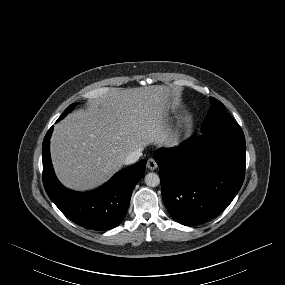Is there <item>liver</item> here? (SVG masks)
<instances>
[{"label":"liver","mask_w":285,"mask_h":285,"mask_svg":"<svg viewBox=\"0 0 285 285\" xmlns=\"http://www.w3.org/2000/svg\"><path fill=\"white\" fill-rule=\"evenodd\" d=\"M166 86L110 91L88 101L55 125L51 157L61 183L92 190L119 171L131 152L167 137L164 115L171 106Z\"/></svg>","instance_id":"6515ba94"}]
</instances>
